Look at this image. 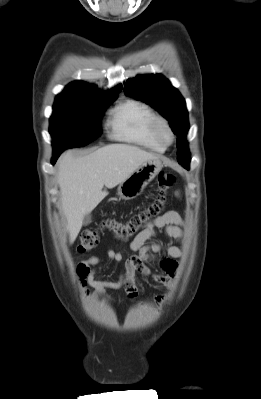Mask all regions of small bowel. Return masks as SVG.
Returning a JSON list of instances; mask_svg holds the SVG:
<instances>
[{
    "label": "small bowel",
    "instance_id": "small-bowel-1",
    "mask_svg": "<svg viewBox=\"0 0 261 399\" xmlns=\"http://www.w3.org/2000/svg\"><path fill=\"white\" fill-rule=\"evenodd\" d=\"M181 225L180 215L176 211L169 210L148 223L130 242L133 255L124 258L120 252L109 249L107 251L109 261L115 264H123V272L116 281L95 279L96 272L105 268V265L101 264L100 257L91 256L79 262L77 275L89 300L94 301L98 297H103L114 302L105 291L106 289L121 288L126 291L128 299H135L139 294L136 283L138 275L151 277L155 282L168 288L173 287L174 278L179 269V260L183 258L182 250L176 245L159 242L148 244L147 242L157 236L158 229H163L164 237L179 242L182 240ZM151 266L158 267L161 273L153 272ZM88 286L93 288L92 293L89 292ZM156 300L162 302L164 297L158 295Z\"/></svg>",
    "mask_w": 261,
    "mask_h": 399
}]
</instances>
